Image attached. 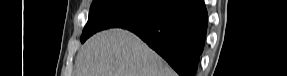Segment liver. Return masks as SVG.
Returning a JSON list of instances; mask_svg holds the SVG:
<instances>
[{
    "label": "liver",
    "mask_w": 287,
    "mask_h": 76,
    "mask_svg": "<svg viewBox=\"0 0 287 76\" xmlns=\"http://www.w3.org/2000/svg\"><path fill=\"white\" fill-rule=\"evenodd\" d=\"M75 76H176L135 34L110 29L88 39L78 52Z\"/></svg>",
    "instance_id": "1"
}]
</instances>
